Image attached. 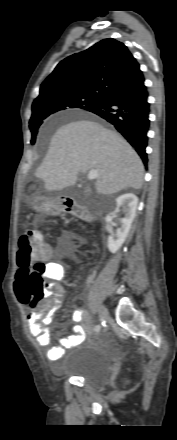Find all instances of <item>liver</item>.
<instances>
[{
	"label": "liver",
	"mask_w": 177,
	"mask_h": 440,
	"mask_svg": "<svg viewBox=\"0 0 177 440\" xmlns=\"http://www.w3.org/2000/svg\"><path fill=\"white\" fill-rule=\"evenodd\" d=\"M91 170L98 172V194L142 187L144 166L135 150L115 131L89 120L68 123L55 132L35 175L52 192L73 186L79 173Z\"/></svg>",
	"instance_id": "6515ba94"
}]
</instances>
